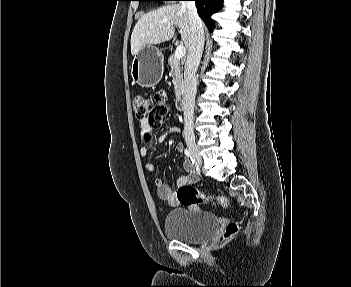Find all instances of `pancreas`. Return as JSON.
Listing matches in <instances>:
<instances>
[{
  "mask_svg": "<svg viewBox=\"0 0 351 287\" xmlns=\"http://www.w3.org/2000/svg\"><path fill=\"white\" fill-rule=\"evenodd\" d=\"M168 64L171 67L172 82L174 84L175 93L179 95L184 88L182 66L180 60L175 58V55H171L168 59Z\"/></svg>",
  "mask_w": 351,
  "mask_h": 287,
  "instance_id": "1",
  "label": "pancreas"
}]
</instances>
